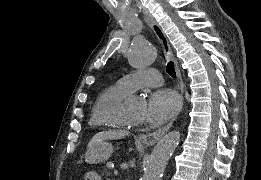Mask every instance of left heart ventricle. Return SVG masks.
Returning <instances> with one entry per match:
<instances>
[{
    "label": "left heart ventricle",
    "instance_id": "1",
    "mask_svg": "<svg viewBox=\"0 0 261 180\" xmlns=\"http://www.w3.org/2000/svg\"><path fill=\"white\" fill-rule=\"evenodd\" d=\"M133 95H129L126 99L131 98ZM145 107V102L142 100L140 103L125 106L124 105V113H123V120L129 124L139 125L142 126L146 124V120L143 117V109Z\"/></svg>",
    "mask_w": 261,
    "mask_h": 180
}]
</instances>
